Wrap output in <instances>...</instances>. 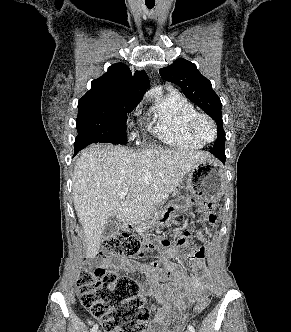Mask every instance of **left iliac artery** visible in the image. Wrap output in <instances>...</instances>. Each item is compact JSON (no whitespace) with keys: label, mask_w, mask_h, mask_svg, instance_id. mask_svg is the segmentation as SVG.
I'll use <instances>...</instances> for the list:
<instances>
[{"label":"left iliac artery","mask_w":291,"mask_h":332,"mask_svg":"<svg viewBox=\"0 0 291 332\" xmlns=\"http://www.w3.org/2000/svg\"><path fill=\"white\" fill-rule=\"evenodd\" d=\"M189 332H195V328L192 325L188 326Z\"/></svg>","instance_id":"1"}]
</instances>
